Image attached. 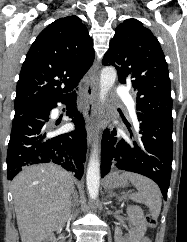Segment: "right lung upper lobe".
I'll return each mask as SVG.
<instances>
[{
  "label": "right lung upper lobe",
  "mask_w": 187,
  "mask_h": 242,
  "mask_svg": "<svg viewBox=\"0 0 187 242\" xmlns=\"http://www.w3.org/2000/svg\"><path fill=\"white\" fill-rule=\"evenodd\" d=\"M94 57L92 38L79 17L54 21L38 35L27 53L14 108L44 105L75 92Z\"/></svg>",
  "instance_id": "obj_1"
}]
</instances>
